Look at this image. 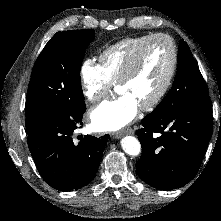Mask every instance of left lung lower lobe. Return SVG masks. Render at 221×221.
I'll use <instances>...</instances> for the list:
<instances>
[{
	"mask_svg": "<svg viewBox=\"0 0 221 221\" xmlns=\"http://www.w3.org/2000/svg\"><path fill=\"white\" fill-rule=\"evenodd\" d=\"M142 125L136 132L142 146L136 163L139 177L160 190L189 183L200 168L213 131L210 97L177 100L162 112L145 116Z\"/></svg>",
	"mask_w": 221,
	"mask_h": 221,
	"instance_id": "1",
	"label": "left lung lower lobe"
}]
</instances>
